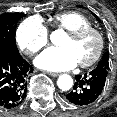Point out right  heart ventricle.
<instances>
[{"label": "right heart ventricle", "mask_w": 117, "mask_h": 117, "mask_svg": "<svg viewBox=\"0 0 117 117\" xmlns=\"http://www.w3.org/2000/svg\"><path fill=\"white\" fill-rule=\"evenodd\" d=\"M52 21L57 28L67 32L91 25L85 15L76 11L57 13L52 17Z\"/></svg>", "instance_id": "e07e8e85"}]
</instances>
